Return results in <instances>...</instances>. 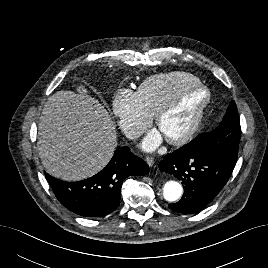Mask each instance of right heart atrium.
I'll list each match as a JSON object with an SVG mask.
<instances>
[{
	"label": "right heart atrium",
	"mask_w": 268,
	"mask_h": 268,
	"mask_svg": "<svg viewBox=\"0 0 268 268\" xmlns=\"http://www.w3.org/2000/svg\"><path fill=\"white\" fill-rule=\"evenodd\" d=\"M112 112L122 130L129 137H136L152 122L153 115L146 107L139 92L120 90L113 98Z\"/></svg>",
	"instance_id": "right-heart-atrium-1"
}]
</instances>
